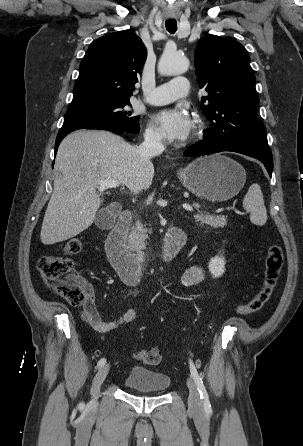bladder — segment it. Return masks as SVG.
<instances>
[{"label": "bladder", "mask_w": 303, "mask_h": 446, "mask_svg": "<svg viewBox=\"0 0 303 446\" xmlns=\"http://www.w3.org/2000/svg\"><path fill=\"white\" fill-rule=\"evenodd\" d=\"M123 384L131 391L161 394L170 388L171 379L163 372L136 366L127 373Z\"/></svg>", "instance_id": "31cf9c89"}]
</instances>
